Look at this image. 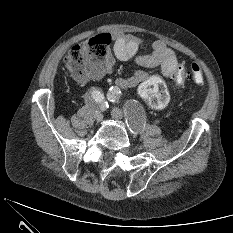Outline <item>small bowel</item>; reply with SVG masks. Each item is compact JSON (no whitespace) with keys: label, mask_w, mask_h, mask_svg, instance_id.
Instances as JSON below:
<instances>
[{"label":"small bowel","mask_w":233,"mask_h":233,"mask_svg":"<svg viewBox=\"0 0 233 233\" xmlns=\"http://www.w3.org/2000/svg\"><path fill=\"white\" fill-rule=\"evenodd\" d=\"M111 37L114 41L112 52L107 53L105 65L100 75L110 73L116 59L127 61L135 57L136 62L142 67L159 66L167 78H172L181 65L176 53L162 41L154 42L150 53L138 55L142 45V40L139 37L123 32H114ZM147 78L146 72L138 70L131 76L118 78L116 83L123 89H129L136 87Z\"/></svg>","instance_id":"small-bowel-1"}]
</instances>
